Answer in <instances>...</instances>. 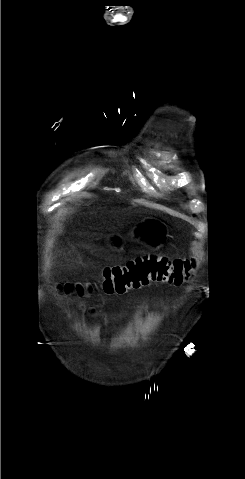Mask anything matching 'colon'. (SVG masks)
Returning a JSON list of instances; mask_svg holds the SVG:
<instances>
[{
  "mask_svg": "<svg viewBox=\"0 0 245 479\" xmlns=\"http://www.w3.org/2000/svg\"><path fill=\"white\" fill-rule=\"evenodd\" d=\"M195 263L189 259H168L159 255H143L123 265L108 266L102 270L100 288L108 293H124L145 287L150 283L183 284ZM66 290H82L80 286L66 285Z\"/></svg>",
  "mask_w": 245,
  "mask_h": 479,
  "instance_id": "obj_1",
  "label": "colon"
}]
</instances>
